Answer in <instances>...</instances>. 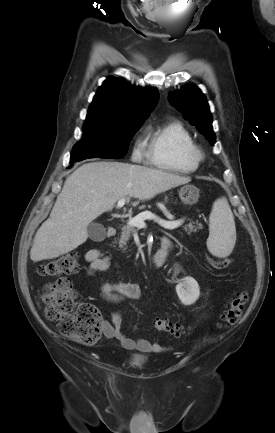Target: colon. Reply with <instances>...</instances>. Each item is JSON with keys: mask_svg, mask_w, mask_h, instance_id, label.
<instances>
[{"mask_svg": "<svg viewBox=\"0 0 275 433\" xmlns=\"http://www.w3.org/2000/svg\"><path fill=\"white\" fill-rule=\"evenodd\" d=\"M215 268H225L228 261L210 260ZM80 270L77 253H67L52 259L39 267V273L46 277H57L54 282L45 285L42 299L46 304L45 315L50 321L61 325L65 335L84 345L96 343L101 337V313L90 303L76 307V293L69 279L70 275ZM248 301L245 290L238 291L231 297L221 316L225 326H233L242 317L244 306ZM158 331H165L175 336L184 333V327L166 318L154 322Z\"/></svg>", "mask_w": 275, "mask_h": 433, "instance_id": "5ec220e1", "label": "colon"}]
</instances>
